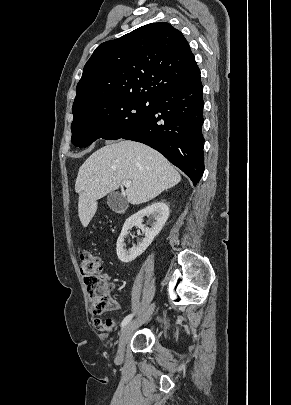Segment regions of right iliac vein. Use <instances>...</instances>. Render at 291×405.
I'll return each mask as SVG.
<instances>
[{"instance_id": "63e3f726", "label": "right iliac vein", "mask_w": 291, "mask_h": 405, "mask_svg": "<svg viewBox=\"0 0 291 405\" xmlns=\"http://www.w3.org/2000/svg\"><path fill=\"white\" fill-rule=\"evenodd\" d=\"M154 311V304H152L146 311H144L137 319L128 323L126 326L123 327L119 334L118 339V357L121 358L123 354L124 347L128 342L129 338L131 337L132 333L136 328H138L141 324H143L153 313Z\"/></svg>"}]
</instances>
